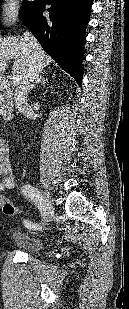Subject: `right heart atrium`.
<instances>
[{
  "mask_svg": "<svg viewBox=\"0 0 129 309\" xmlns=\"http://www.w3.org/2000/svg\"><path fill=\"white\" fill-rule=\"evenodd\" d=\"M1 22L4 26H10L19 16L18 0H3L1 3Z\"/></svg>",
  "mask_w": 129,
  "mask_h": 309,
  "instance_id": "right-heart-atrium-1",
  "label": "right heart atrium"
}]
</instances>
